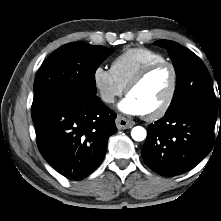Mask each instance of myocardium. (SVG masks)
<instances>
[{"mask_svg": "<svg viewBox=\"0 0 221 221\" xmlns=\"http://www.w3.org/2000/svg\"><path fill=\"white\" fill-rule=\"evenodd\" d=\"M166 66L171 70V74H172V79H171V85H170V89L169 92L166 96V98L164 99V101L162 102V104L156 108L155 110L148 112V113H144V116L149 119V120H154V119H158L160 117H162L170 108L176 91H177V85H178V72L177 69L175 67V65L169 61H158V62H154L151 64L146 65L145 67H143L128 83V85L126 86V93L129 94L131 92L132 89H134L136 86H138L142 81H144V79L150 74L152 73L154 70Z\"/></svg>", "mask_w": 221, "mask_h": 221, "instance_id": "myocardium-1", "label": "myocardium"}]
</instances>
